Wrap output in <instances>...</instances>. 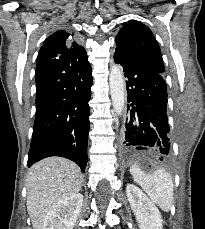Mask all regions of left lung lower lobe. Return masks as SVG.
Masks as SVG:
<instances>
[{
  "instance_id": "obj_1",
  "label": "left lung lower lobe",
  "mask_w": 205,
  "mask_h": 229,
  "mask_svg": "<svg viewBox=\"0 0 205 229\" xmlns=\"http://www.w3.org/2000/svg\"><path fill=\"white\" fill-rule=\"evenodd\" d=\"M114 60L125 72L127 101L130 102L122 143L124 155L131 157L147 152L156 160H167L171 155V138L163 75L119 50L115 51Z\"/></svg>"
}]
</instances>
